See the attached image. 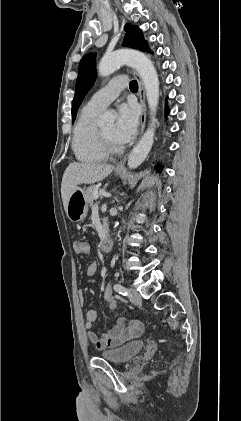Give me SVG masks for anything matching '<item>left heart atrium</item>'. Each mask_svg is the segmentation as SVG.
<instances>
[{"label": "left heart atrium", "mask_w": 241, "mask_h": 421, "mask_svg": "<svg viewBox=\"0 0 241 421\" xmlns=\"http://www.w3.org/2000/svg\"><path fill=\"white\" fill-rule=\"evenodd\" d=\"M138 128V110L133 104L122 103L118 107L114 137L119 144L130 142Z\"/></svg>", "instance_id": "obj_1"}]
</instances>
